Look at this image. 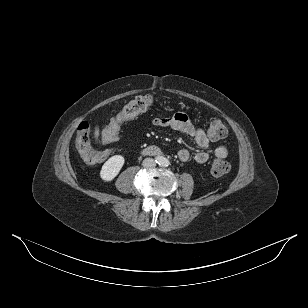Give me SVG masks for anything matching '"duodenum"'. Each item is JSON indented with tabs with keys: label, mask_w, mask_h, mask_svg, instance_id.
<instances>
[{
	"label": "duodenum",
	"mask_w": 308,
	"mask_h": 308,
	"mask_svg": "<svg viewBox=\"0 0 308 308\" xmlns=\"http://www.w3.org/2000/svg\"><path fill=\"white\" fill-rule=\"evenodd\" d=\"M143 153L150 156H158L161 154V150L156 146H150L144 149Z\"/></svg>",
	"instance_id": "1"
}]
</instances>
